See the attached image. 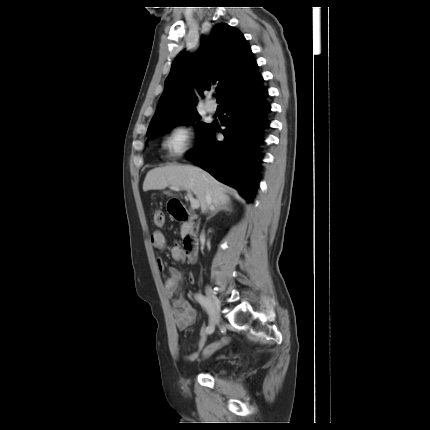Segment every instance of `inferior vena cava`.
<instances>
[{
	"label": "inferior vena cava",
	"instance_id": "inferior-vena-cava-1",
	"mask_svg": "<svg viewBox=\"0 0 430 430\" xmlns=\"http://www.w3.org/2000/svg\"><path fill=\"white\" fill-rule=\"evenodd\" d=\"M206 203H207L208 206H210V209H212V206H211V204H212V197H211L210 193H207V195H206Z\"/></svg>",
	"mask_w": 430,
	"mask_h": 430
}]
</instances>
